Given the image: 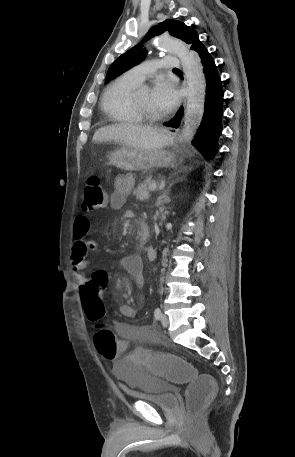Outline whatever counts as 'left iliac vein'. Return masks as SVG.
<instances>
[{
	"label": "left iliac vein",
	"mask_w": 295,
	"mask_h": 457,
	"mask_svg": "<svg viewBox=\"0 0 295 457\" xmlns=\"http://www.w3.org/2000/svg\"><path fill=\"white\" fill-rule=\"evenodd\" d=\"M160 320H161V323H162V325H163L164 327H168V325H169V318H168L167 315L162 314Z\"/></svg>",
	"instance_id": "obj_1"
}]
</instances>
